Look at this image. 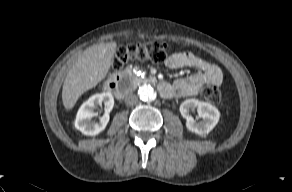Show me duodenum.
Wrapping results in <instances>:
<instances>
[{"mask_svg": "<svg viewBox=\"0 0 292 192\" xmlns=\"http://www.w3.org/2000/svg\"><path fill=\"white\" fill-rule=\"evenodd\" d=\"M107 89L110 91L114 96L118 99L123 98L124 96V89H123V79L122 76L116 75L111 78L107 84ZM158 90L162 96H166L170 93L171 87L170 84L167 82H161L158 85Z\"/></svg>", "mask_w": 292, "mask_h": 192, "instance_id": "410a0bca", "label": "duodenum"}]
</instances>
